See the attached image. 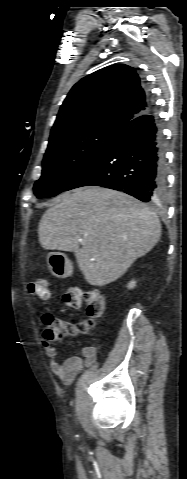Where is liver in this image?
Instances as JSON below:
<instances>
[{
  "mask_svg": "<svg viewBox=\"0 0 187 479\" xmlns=\"http://www.w3.org/2000/svg\"><path fill=\"white\" fill-rule=\"evenodd\" d=\"M38 235L46 250L74 252L86 281L104 286L154 248L161 224L134 197L90 186L56 197L40 220Z\"/></svg>",
  "mask_w": 187,
  "mask_h": 479,
  "instance_id": "liver-1",
  "label": "liver"
}]
</instances>
